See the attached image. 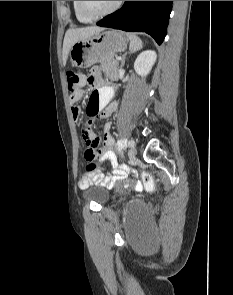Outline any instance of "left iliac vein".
Instances as JSON below:
<instances>
[{"label":"left iliac vein","instance_id":"4c4485c4","mask_svg":"<svg viewBox=\"0 0 233 295\" xmlns=\"http://www.w3.org/2000/svg\"><path fill=\"white\" fill-rule=\"evenodd\" d=\"M133 141V140H132ZM129 146V156L130 157H135L137 154L136 148H135V142L133 141L132 145H128Z\"/></svg>","mask_w":233,"mask_h":295}]
</instances>
